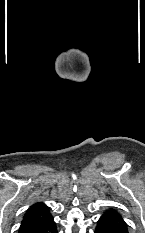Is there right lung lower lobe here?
Listing matches in <instances>:
<instances>
[{
    "label": "right lung lower lobe",
    "instance_id": "1",
    "mask_svg": "<svg viewBox=\"0 0 145 233\" xmlns=\"http://www.w3.org/2000/svg\"><path fill=\"white\" fill-rule=\"evenodd\" d=\"M26 233H58L53 217Z\"/></svg>",
    "mask_w": 145,
    "mask_h": 233
}]
</instances>
